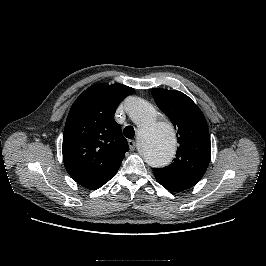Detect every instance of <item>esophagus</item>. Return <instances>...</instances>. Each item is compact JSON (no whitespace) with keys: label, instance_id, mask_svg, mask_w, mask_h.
<instances>
[{"label":"esophagus","instance_id":"34e87169","mask_svg":"<svg viewBox=\"0 0 266 266\" xmlns=\"http://www.w3.org/2000/svg\"><path fill=\"white\" fill-rule=\"evenodd\" d=\"M128 145L130 147L131 150H134L135 148V141L134 140H128Z\"/></svg>","mask_w":266,"mask_h":266}]
</instances>
